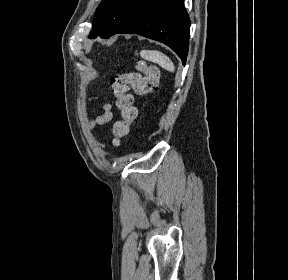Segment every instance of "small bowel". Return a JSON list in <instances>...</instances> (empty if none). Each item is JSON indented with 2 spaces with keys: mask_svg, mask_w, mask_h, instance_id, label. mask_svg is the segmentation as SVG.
<instances>
[{
  "mask_svg": "<svg viewBox=\"0 0 288 280\" xmlns=\"http://www.w3.org/2000/svg\"><path fill=\"white\" fill-rule=\"evenodd\" d=\"M113 113L111 110V105L110 104H105L103 106V112L101 115H99L92 123L91 126H96V125H103L112 120Z\"/></svg>",
  "mask_w": 288,
  "mask_h": 280,
  "instance_id": "obj_1",
  "label": "small bowel"
}]
</instances>
